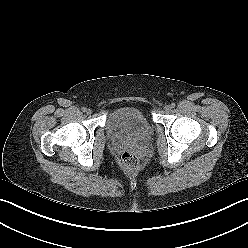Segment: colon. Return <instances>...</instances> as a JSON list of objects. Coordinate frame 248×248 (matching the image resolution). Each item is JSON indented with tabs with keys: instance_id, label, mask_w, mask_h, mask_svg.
Listing matches in <instances>:
<instances>
[{
	"instance_id": "obj_1",
	"label": "colon",
	"mask_w": 248,
	"mask_h": 248,
	"mask_svg": "<svg viewBox=\"0 0 248 248\" xmlns=\"http://www.w3.org/2000/svg\"><path fill=\"white\" fill-rule=\"evenodd\" d=\"M121 160L125 170L129 173H136L139 170V158L132 151L123 152Z\"/></svg>"
}]
</instances>
